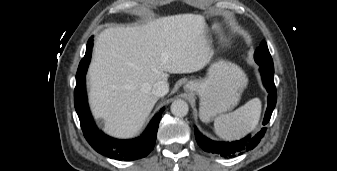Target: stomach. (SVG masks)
<instances>
[{"label":"stomach","instance_id":"stomach-1","mask_svg":"<svg viewBox=\"0 0 337 171\" xmlns=\"http://www.w3.org/2000/svg\"><path fill=\"white\" fill-rule=\"evenodd\" d=\"M246 85L247 77L237 65L218 61L210 66L206 78L189 81L184 88L199 95V116L207 123L232 110Z\"/></svg>","mask_w":337,"mask_h":171}]
</instances>
